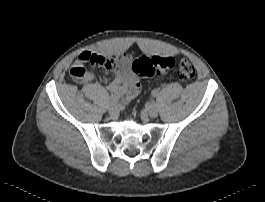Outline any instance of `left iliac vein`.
<instances>
[{"label": "left iliac vein", "instance_id": "left-iliac-vein-1", "mask_svg": "<svg viewBox=\"0 0 265 202\" xmlns=\"http://www.w3.org/2000/svg\"><path fill=\"white\" fill-rule=\"evenodd\" d=\"M146 112L151 118H155L158 115V109L157 105L153 102H151L147 107H146Z\"/></svg>", "mask_w": 265, "mask_h": 202}]
</instances>
